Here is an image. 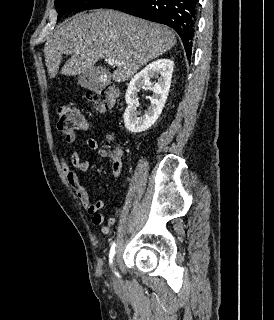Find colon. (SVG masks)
Returning a JSON list of instances; mask_svg holds the SVG:
<instances>
[{
    "instance_id": "5ec220e1",
    "label": "colon",
    "mask_w": 274,
    "mask_h": 320,
    "mask_svg": "<svg viewBox=\"0 0 274 320\" xmlns=\"http://www.w3.org/2000/svg\"><path fill=\"white\" fill-rule=\"evenodd\" d=\"M114 88L110 85H104L100 89L89 90L85 93V99L93 104L100 111L106 112L113 105ZM57 128L65 136H71L77 130L80 120H86L81 111L75 109L66 103H61L56 107ZM112 142V137L107 138V147ZM117 157L120 151L111 149Z\"/></svg>"
}]
</instances>
